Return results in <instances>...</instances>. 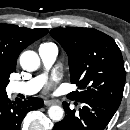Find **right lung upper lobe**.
<instances>
[{
	"instance_id": "cb5924a9",
	"label": "right lung upper lobe",
	"mask_w": 130,
	"mask_h": 130,
	"mask_svg": "<svg viewBox=\"0 0 130 130\" xmlns=\"http://www.w3.org/2000/svg\"><path fill=\"white\" fill-rule=\"evenodd\" d=\"M47 32V29H29L0 23V81L8 80L9 75L16 70L17 58L22 50Z\"/></svg>"
}]
</instances>
